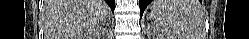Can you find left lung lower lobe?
<instances>
[{"mask_svg":"<svg viewBox=\"0 0 249 39\" xmlns=\"http://www.w3.org/2000/svg\"><path fill=\"white\" fill-rule=\"evenodd\" d=\"M151 1H152V0H140V1H139L141 16H142V14H143L145 8L147 7V5H148Z\"/></svg>","mask_w":249,"mask_h":39,"instance_id":"obj_1","label":"left lung lower lobe"}]
</instances>
